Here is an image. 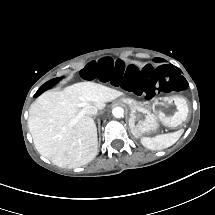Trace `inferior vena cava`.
Instances as JSON below:
<instances>
[{
  "instance_id": "obj_1",
  "label": "inferior vena cava",
  "mask_w": 215,
  "mask_h": 215,
  "mask_svg": "<svg viewBox=\"0 0 215 215\" xmlns=\"http://www.w3.org/2000/svg\"><path fill=\"white\" fill-rule=\"evenodd\" d=\"M82 112L87 115H96L97 114V108L93 105H86Z\"/></svg>"
}]
</instances>
